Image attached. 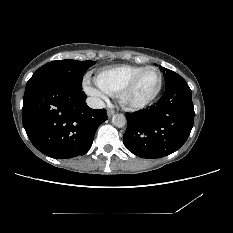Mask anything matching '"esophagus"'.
Returning <instances> with one entry per match:
<instances>
[{"label":"esophagus","mask_w":233,"mask_h":233,"mask_svg":"<svg viewBox=\"0 0 233 233\" xmlns=\"http://www.w3.org/2000/svg\"><path fill=\"white\" fill-rule=\"evenodd\" d=\"M115 114V110H113V109H108L107 110V116L108 117H111L112 115H114Z\"/></svg>","instance_id":"obj_1"}]
</instances>
